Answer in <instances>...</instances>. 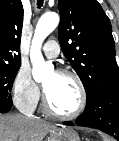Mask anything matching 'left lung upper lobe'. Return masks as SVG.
Masks as SVG:
<instances>
[{
  "mask_svg": "<svg viewBox=\"0 0 119 141\" xmlns=\"http://www.w3.org/2000/svg\"><path fill=\"white\" fill-rule=\"evenodd\" d=\"M59 42L79 75L87 99L119 87V68L109 18L96 0H59Z\"/></svg>",
  "mask_w": 119,
  "mask_h": 141,
  "instance_id": "left-lung-upper-lobe-1",
  "label": "left lung upper lobe"
}]
</instances>
